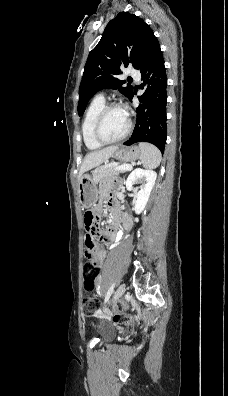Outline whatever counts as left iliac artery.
<instances>
[{"mask_svg":"<svg viewBox=\"0 0 228 396\" xmlns=\"http://www.w3.org/2000/svg\"><path fill=\"white\" fill-rule=\"evenodd\" d=\"M114 287H115V283H113V284L111 285V287L109 288V290H108V292H107V294H106V296H105L104 303H106V302L109 300L111 294H112L113 291H114Z\"/></svg>","mask_w":228,"mask_h":396,"instance_id":"obj_1","label":"left iliac artery"}]
</instances>
